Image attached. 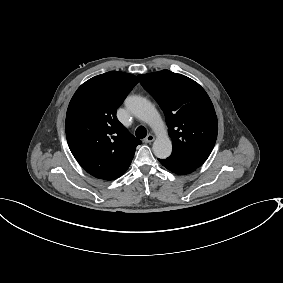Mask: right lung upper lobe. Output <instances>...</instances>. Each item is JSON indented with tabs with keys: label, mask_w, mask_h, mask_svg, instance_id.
<instances>
[{
	"label": "right lung upper lobe",
	"mask_w": 283,
	"mask_h": 283,
	"mask_svg": "<svg viewBox=\"0 0 283 283\" xmlns=\"http://www.w3.org/2000/svg\"><path fill=\"white\" fill-rule=\"evenodd\" d=\"M136 76L110 71L83 83L72 97L66 114V137L78 163L92 176L114 180L125 173L139 139L127 133L116 111Z\"/></svg>",
	"instance_id": "obj_1"
}]
</instances>
